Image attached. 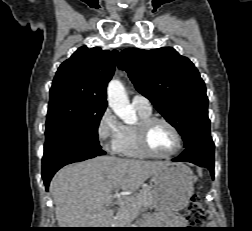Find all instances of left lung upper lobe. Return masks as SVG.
<instances>
[{"mask_svg":"<svg viewBox=\"0 0 252 231\" xmlns=\"http://www.w3.org/2000/svg\"><path fill=\"white\" fill-rule=\"evenodd\" d=\"M119 67L178 130L185 147L212 140L205 83L188 58L172 47L128 48L120 53Z\"/></svg>","mask_w":252,"mask_h":231,"instance_id":"obj_1","label":"left lung upper lobe"}]
</instances>
